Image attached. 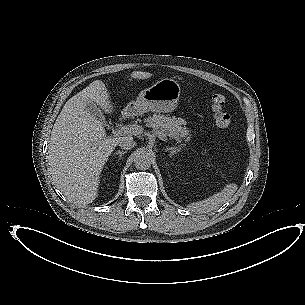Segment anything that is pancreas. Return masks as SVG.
<instances>
[{
  "label": "pancreas",
  "mask_w": 305,
  "mask_h": 305,
  "mask_svg": "<svg viewBox=\"0 0 305 305\" xmlns=\"http://www.w3.org/2000/svg\"><path fill=\"white\" fill-rule=\"evenodd\" d=\"M155 126L160 128L162 132H165L179 143L183 140H185V142H189L191 139L190 129L187 127H182L181 124H178L173 119L155 118L154 127Z\"/></svg>",
  "instance_id": "1"
}]
</instances>
